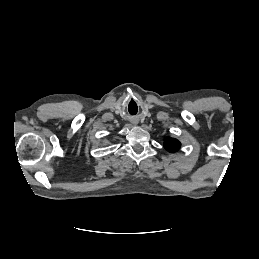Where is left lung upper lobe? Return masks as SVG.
<instances>
[{"label":"left lung upper lobe","instance_id":"1","mask_svg":"<svg viewBox=\"0 0 259 259\" xmlns=\"http://www.w3.org/2000/svg\"><path fill=\"white\" fill-rule=\"evenodd\" d=\"M180 147L181 143L177 139L166 138L164 141V148L171 153L176 152Z\"/></svg>","mask_w":259,"mask_h":259}]
</instances>
